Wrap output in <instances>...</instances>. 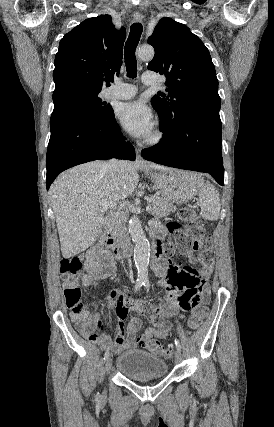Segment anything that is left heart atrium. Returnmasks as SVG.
I'll list each match as a JSON object with an SVG mask.
<instances>
[{"mask_svg": "<svg viewBox=\"0 0 274 427\" xmlns=\"http://www.w3.org/2000/svg\"><path fill=\"white\" fill-rule=\"evenodd\" d=\"M115 115L120 124L133 136L146 138L153 132L152 112L141 101L120 103Z\"/></svg>", "mask_w": 274, "mask_h": 427, "instance_id": "obj_1", "label": "left heart atrium"}]
</instances>
